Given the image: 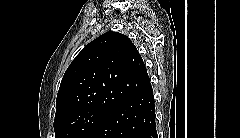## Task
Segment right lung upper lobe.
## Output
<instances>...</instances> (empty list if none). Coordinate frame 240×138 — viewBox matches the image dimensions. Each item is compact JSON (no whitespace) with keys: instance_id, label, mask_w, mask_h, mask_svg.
<instances>
[{"instance_id":"1","label":"right lung upper lobe","mask_w":240,"mask_h":138,"mask_svg":"<svg viewBox=\"0 0 240 138\" xmlns=\"http://www.w3.org/2000/svg\"><path fill=\"white\" fill-rule=\"evenodd\" d=\"M150 84L131 40L107 32L85 46L67 68L57 94L55 120L85 109L108 111Z\"/></svg>"}]
</instances>
